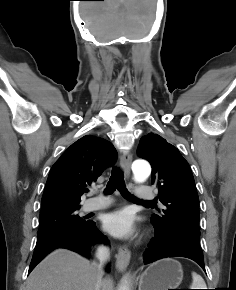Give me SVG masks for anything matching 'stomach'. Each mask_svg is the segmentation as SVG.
<instances>
[{"label":"stomach","instance_id":"1","mask_svg":"<svg viewBox=\"0 0 236 290\" xmlns=\"http://www.w3.org/2000/svg\"><path fill=\"white\" fill-rule=\"evenodd\" d=\"M183 279L181 264L171 258L152 263L139 278V290L177 289Z\"/></svg>","mask_w":236,"mask_h":290}]
</instances>
